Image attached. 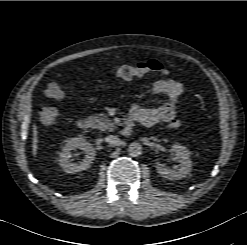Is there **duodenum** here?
I'll list each match as a JSON object with an SVG mask.
<instances>
[{
	"mask_svg": "<svg viewBox=\"0 0 247 245\" xmlns=\"http://www.w3.org/2000/svg\"><path fill=\"white\" fill-rule=\"evenodd\" d=\"M134 117L133 115H130L128 119L126 120L121 132L124 136H129L133 130L134 125ZM91 126V122L87 118H80L77 122V127L81 130H87Z\"/></svg>",
	"mask_w": 247,
	"mask_h": 245,
	"instance_id": "obj_1",
	"label": "duodenum"
}]
</instances>
